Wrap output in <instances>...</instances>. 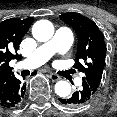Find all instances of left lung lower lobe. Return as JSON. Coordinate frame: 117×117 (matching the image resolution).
<instances>
[{
	"label": "left lung lower lobe",
	"mask_w": 117,
	"mask_h": 117,
	"mask_svg": "<svg viewBox=\"0 0 117 117\" xmlns=\"http://www.w3.org/2000/svg\"><path fill=\"white\" fill-rule=\"evenodd\" d=\"M95 94L91 91V89L83 85V87L74 92L72 96L65 97L63 99H59L62 104L67 107H81L88 104Z\"/></svg>",
	"instance_id": "1"
}]
</instances>
